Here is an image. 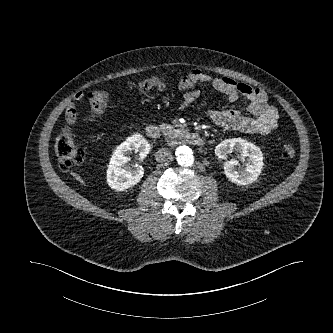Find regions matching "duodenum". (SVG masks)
Listing matches in <instances>:
<instances>
[{
	"instance_id": "1",
	"label": "duodenum",
	"mask_w": 333,
	"mask_h": 333,
	"mask_svg": "<svg viewBox=\"0 0 333 333\" xmlns=\"http://www.w3.org/2000/svg\"><path fill=\"white\" fill-rule=\"evenodd\" d=\"M146 135L150 139H158L162 136V132L157 126L150 125L147 127ZM165 138L167 142L172 144L181 143V142L198 146L204 144V139L201 136H199L196 133H192L188 130H183V129L170 132L165 136Z\"/></svg>"
}]
</instances>
